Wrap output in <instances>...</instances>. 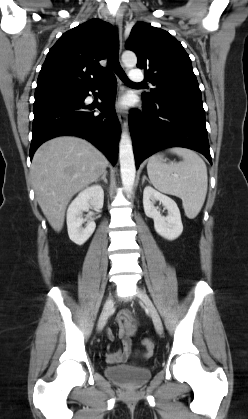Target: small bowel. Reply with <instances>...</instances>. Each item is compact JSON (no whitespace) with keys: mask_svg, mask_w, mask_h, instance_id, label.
<instances>
[{"mask_svg":"<svg viewBox=\"0 0 248 419\" xmlns=\"http://www.w3.org/2000/svg\"><path fill=\"white\" fill-rule=\"evenodd\" d=\"M118 322V336L122 342V349L116 352H110L106 355V360L109 363H122L125 362L133 352L132 337L134 336L137 325L131 314L127 309L122 310L117 315ZM106 336L109 340L114 339V334L108 330Z\"/></svg>","mask_w":248,"mask_h":419,"instance_id":"small-bowel-1","label":"small bowel"}]
</instances>
